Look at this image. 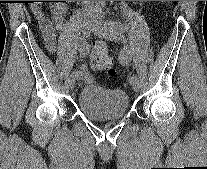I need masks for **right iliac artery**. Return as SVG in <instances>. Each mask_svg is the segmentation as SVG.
I'll use <instances>...</instances> for the list:
<instances>
[{"label":"right iliac artery","mask_w":207,"mask_h":169,"mask_svg":"<svg viewBox=\"0 0 207 169\" xmlns=\"http://www.w3.org/2000/svg\"><path fill=\"white\" fill-rule=\"evenodd\" d=\"M79 52L81 55H86L88 53V44L84 38L81 39L79 44ZM72 76L76 77L77 79L81 78L78 71H73Z\"/></svg>","instance_id":"1"}]
</instances>
